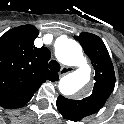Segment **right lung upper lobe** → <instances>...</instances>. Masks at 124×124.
<instances>
[{
    "label": "right lung upper lobe",
    "mask_w": 124,
    "mask_h": 124,
    "mask_svg": "<svg viewBox=\"0 0 124 124\" xmlns=\"http://www.w3.org/2000/svg\"><path fill=\"white\" fill-rule=\"evenodd\" d=\"M38 34L34 26L22 25L0 38V106L6 109L23 106L42 83L59 79L47 67L50 51L34 46Z\"/></svg>",
    "instance_id": "cb5924a9"
}]
</instances>
